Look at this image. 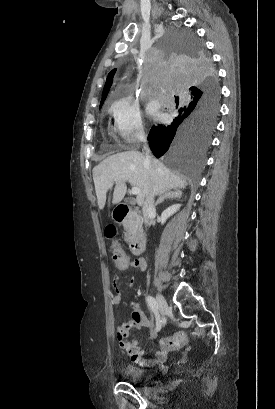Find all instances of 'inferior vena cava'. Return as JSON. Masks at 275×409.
<instances>
[{
	"mask_svg": "<svg viewBox=\"0 0 275 409\" xmlns=\"http://www.w3.org/2000/svg\"><path fill=\"white\" fill-rule=\"evenodd\" d=\"M139 138L141 140V142H144V150H146L145 154V162L146 164H149V166H152V158L149 154L150 150L146 144L147 142V138L144 134V132H140L139 134ZM149 172H152L151 168L149 170ZM154 192H151V194H149V196H147V198H145L144 200V205H143V219H144V223H146V225H148L149 223V215L150 213H155V205H154Z\"/></svg>",
	"mask_w": 275,
	"mask_h": 409,
	"instance_id": "602c4592",
	"label": "inferior vena cava"
}]
</instances>
